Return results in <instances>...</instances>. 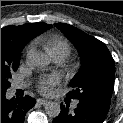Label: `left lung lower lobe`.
<instances>
[{
	"label": "left lung lower lobe",
	"instance_id": "0a47b994",
	"mask_svg": "<svg viewBox=\"0 0 123 123\" xmlns=\"http://www.w3.org/2000/svg\"><path fill=\"white\" fill-rule=\"evenodd\" d=\"M109 108L79 101L73 113L69 112V105L61 104L60 114L53 120V123H102Z\"/></svg>",
	"mask_w": 123,
	"mask_h": 123
}]
</instances>
